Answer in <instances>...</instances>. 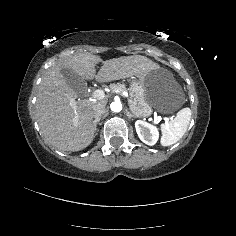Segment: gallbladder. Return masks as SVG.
I'll list each match as a JSON object with an SVG mask.
<instances>
[{
	"label": "gallbladder",
	"mask_w": 236,
	"mask_h": 236,
	"mask_svg": "<svg viewBox=\"0 0 236 236\" xmlns=\"http://www.w3.org/2000/svg\"><path fill=\"white\" fill-rule=\"evenodd\" d=\"M60 71L63 78L72 89L76 90L78 88L86 87V81L84 80L82 75L74 71L71 67H65L64 65H62Z\"/></svg>",
	"instance_id": "1"
}]
</instances>
